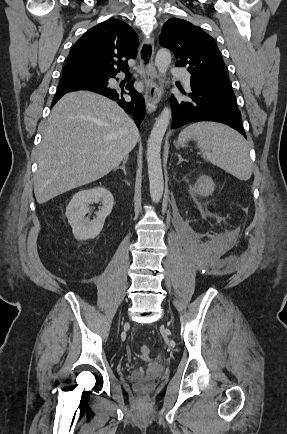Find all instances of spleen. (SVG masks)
<instances>
[{
    "instance_id": "3e777b00",
    "label": "spleen",
    "mask_w": 287,
    "mask_h": 434,
    "mask_svg": "<svg viewBox=\"0 0 287 434\" xmlns=\"http://www.w3.org/2000/svg\"><path fill=\"white\" fill-rule=\"evenodd\" d=\"M193 138L202 157L239 180L252 175V162L245 139L234 129L216 122H198L189 125L179 135Z\"/></svg>"
}]
</instances>
